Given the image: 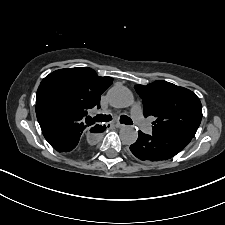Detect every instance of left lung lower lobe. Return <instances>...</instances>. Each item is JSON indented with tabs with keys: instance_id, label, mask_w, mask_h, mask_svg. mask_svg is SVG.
I'll return each instance as SVG.
<instances>
[{
	"instance_id": "1",
	"label": "left lung lower lobe",
	"mask_w": 225,
	"mask_h": 225,
	"mask_svg": "<svg viewBox=\"0 0 225 225\" xmlns=\"http://www.w3.org/2000/svg\"><path fill=\"white\" fill-rule=\"evenodd\" d=\"M192 138L189 135H147L139 131L138 139L130 146V150L144 162H158L175 156Z\"/></svg>"
}]
</instances>
